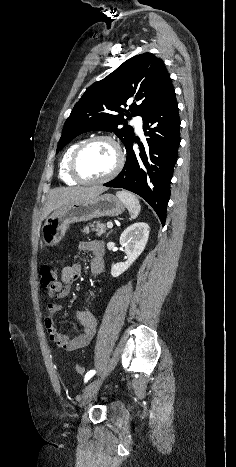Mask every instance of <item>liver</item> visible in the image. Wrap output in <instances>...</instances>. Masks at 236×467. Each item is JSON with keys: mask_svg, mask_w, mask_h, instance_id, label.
<instances>
[{"mask_svg": "<svg viewBox=\"0 0 236 467\" xmlns=\"http://www.w3.org/2000/svg\"><path fill=\"white\" fill-rule=\"evenodd\" d=\"M105 190L106 188L101 186L55 188L50 192L48 200L44 205L41 220H44L51 212L65 205L88 201L99 196Z\"/></svg>", "mask_w": 236, "mask_h": 467, "instance_id": "liver-1", "label": "liver"}]
</instances>
